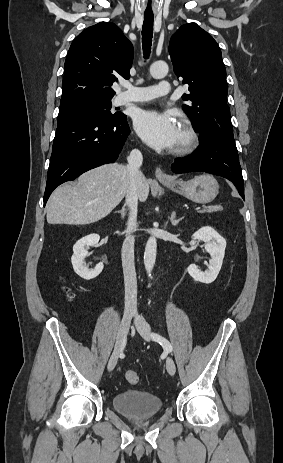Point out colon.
I'll return each mask as SVG.
<instances>
[{
	"label": "colon",
	"instance_id": "obj_1",
	"mask_svg": "<svg viewBox=\"0 0 283 463\" xmlns=\"http://www.w3.org/2000/svg\"><path fill=\"white\" fill-rule=\"evenodd\" d=\"M66 292H68L67 289H66ZM69 295L70 294H68V296ZM125 379L130 384H137L140 380L139 374L136 371H127L125 373Z\"/></svg>",
	"mask_w": 283,
	"mask_h": 463
}]
</instances>
